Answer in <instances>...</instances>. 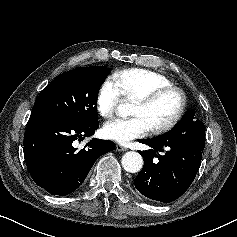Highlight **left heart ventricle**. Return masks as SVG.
Returning a JSON list of instances; mask_svg holds the SVG:
<instances>
[{
  "label": "left heart ventricle",
  "instance_id": "b2bd125f",
  "mask_svg": "<svg viewBox=\"0 0 237 237\" xmlns=\"http://www.w3.org/2000/svg\"><path fill=\"white\" fill-rule=\"evenodd\" d=\"M179 106V97L175 93L166 94L149 105L134 103L131 115L142 117L148 127L161 125L169 121Z\"/></svg>",
  "mask_w": 237,
  "mask_h": 237
}]
</instances>
